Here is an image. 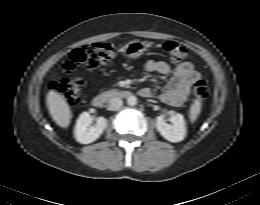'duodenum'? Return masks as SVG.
Wrapping results in <instances>:
<instances>
[{
  "label": "duodenum",
  "instance_id": "410a0bca",
  "mask_svg": "<svg viewBox=\"0 0 260 205\" xmlns=\"http://www.w3.org/2000/svg\"><path fill=\"white\" fill-rule=\"evenodd\" d=\"M131 92L124 89H112L104 91L100 94L95 95L92 98V103L96 107H102L108 100L114 98H128Z\"/></svg>",
  "mask_w": 260,
  "mask_h": 205
}]
</instances>
